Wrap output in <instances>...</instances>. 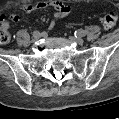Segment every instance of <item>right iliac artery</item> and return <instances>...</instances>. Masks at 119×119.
<instances>
[{
    "mask_svg": "<svg viewBox=\"0 0 119 119\" xmlns=\"http://www.w3.org/2000/svg\"><path fill=\"white\" fill-rule=\"evenodd\" d=\"M37 35H40V32L39 31H34L33 36H37Z\"/></svg>",
    "mask_w": 119,
    "mask_h": 119,
    "instance_id": "82829eb1",
    "label": "right iliac artery"
}]
</instances>
